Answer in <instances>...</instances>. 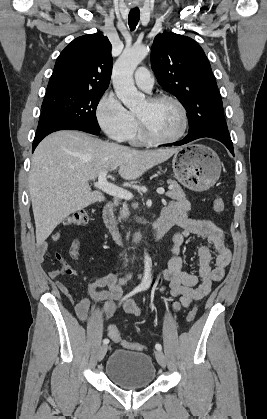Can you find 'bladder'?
<instances>
[{
  "mask_svg": "<svg viewBox=\"0 0 267 419\" xmlns=\"http://www.w3.org/2000/svg\"><path fill=\"white\" fill-rule=\"evenodd\" d=\"M107 378L122 388H141L156 379L153 359L146 353L127 349L114 350L105 365Z\"/></svg>",
  "mask_w": 267,
  "mask_h": 419,
  "instance_id": "1",
  "label": "bladder"
}]
</instances>
